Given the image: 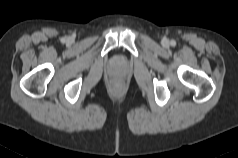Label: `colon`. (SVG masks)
<instances>
[{
	"instance_id": "colon-1",
	"label": "colon",
	"mask_w": 238,
	"mask_h": 158,
	"mask_svg": "<svg viewBox=\"0 0 238 158\" xmlns=\"http://www.w3.org/2000/svg\"><path fill=\"white\" fill-rule=\"evenodd\" d=\"M114 89H115L116 91H118V90L120 89V85H119L118 83H116V84L114 85Z\"/></svg>"
}]
</instances>
